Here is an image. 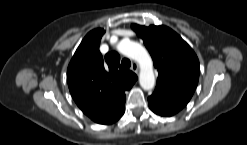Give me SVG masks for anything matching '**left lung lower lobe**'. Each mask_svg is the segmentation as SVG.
Instances as JSON below:
<instances>
[{
    "label": "left lung lower lobe",
    "instance_id": "obj_1",
    "mask_svg": "<svg viewBox=\"0 0 247 145\" xmlns=\"http://www.w3.org/2000/svg\"><path fill=\"white\" fill-rule=\"evenodd\" d=\"M190 98L156 86L155 91L148 97L150 109L160 116H172L184 108Z\"/></svg>",
    "mask_w": 247,
    "mask_h": 145
}]
</instances>
